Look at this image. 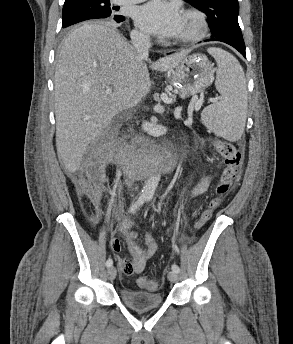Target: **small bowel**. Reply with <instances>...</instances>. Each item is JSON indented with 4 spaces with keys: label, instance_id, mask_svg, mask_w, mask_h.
Here are the masks:
<instances>
[{
    "label": "small bowel",
    "instance_id": "c3829d8e",
    "mask_svg": "<svg viewBox=\"0 0 293 344\" xmlns=\"http://www.w3.org/2000/svg\"><path fill=\"white\" fill-rule=\"evenodd\" d=\"M215 173H207L202 179L191 189L190 197L195 199L199 195L207 191L210 184L214 180ZM86 193L89 196L93 206L99 208V199L96 191L92 186L86 187ZM133 222L130 219H125L120 226V233L125 237L130 258L115 255L119 269L125 275L141 274L144 271L146 262L151 258L157 250V243L151 234H146L142 239H139L138 234L132 230ZM111 249L119 253L122 249L121 240L117 236L110 238Z\"/></svg>",
    "mask_w": 293,
    "mask_h": 344
}]
</instances>
